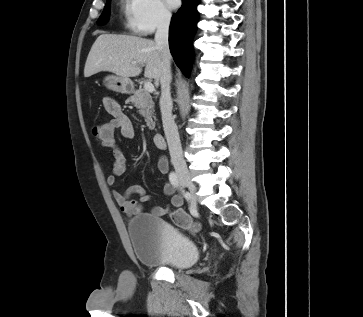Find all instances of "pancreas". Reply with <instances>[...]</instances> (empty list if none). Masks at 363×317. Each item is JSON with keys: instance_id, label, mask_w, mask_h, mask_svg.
I'll return each mask as SVG.
<instances>
[{"instance_id": "cf45deb5", "label": "pancreas", "mask_w": 363, "mask_h": 317, "mask_svg": "<svg viewBox=\"0 0 363 317\" xmlns=\"http://www.w3.org/2000/svg\"><path fill=\"white\" fill-rule=\"evenodd\" d=\"M129 101L139 109V113L145 118L146 125L150 130H153L155 128V110L150 93L145 89L136 90L134 95L129 98Z\"/></svg>"}]
</instances>
